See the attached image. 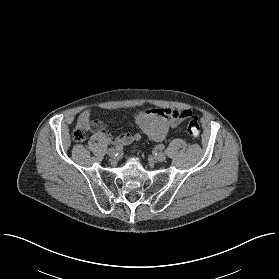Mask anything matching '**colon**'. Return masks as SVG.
Here are the masks:
<instances>
[{
	"mask_svg": "<svg viewBox=\"0 0 279 279\" xmlns=\"http://www.w3.org/2000/svg\"><path fill=\"white\" fill-rule=\"evenodd\" d=\"M89 128L85 126H77L73 132V140L75 142H83L88 135ZM189 136L196 139L200 135V125L197 120L192 119L187 128Z\"/></svg>",
	"mask_w": 279,
	"mask_h": 279,
	"instance_id": "obj_1",
	"label": "colon"
}]
</instances>
